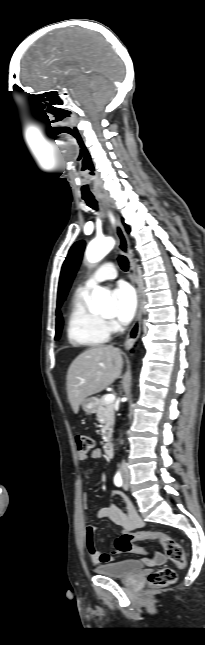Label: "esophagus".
<instances>
[{
	"label": "esophagus",
	"mask_w": 205,
	"mask_h": 645,
	"mask_svg": "<svg viewBox=\"0 0 205 645\" xmlns=\"http://www.w3.org/2000/svg\"><path fill=\"white\" fill-rule=\"evenodd\" d=\"M99 199L101 200L102 204L106 208H110V201L107 196L104 194L99 195ZM114 231L117 236L118 242H119V250L121 253H124L129 261V277L130 280L135 288L136 291V296H137V310H136V315L135 319L133 322V325L131 326L127 336L126 340L124 343L125 349H130L137 338L139 337L140 331H141V317H142V301H141V288L137 280L136 276V270H135V264L132 258V250L130 248V241L129 238L120 223L118 219L115 220L114 223Z\"/></svg>",
	"instance_id": "obj_1"
}]
</instances>
